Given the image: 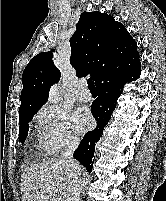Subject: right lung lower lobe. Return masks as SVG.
Returning <instances> with one entry per match:
<instances>
[{
    "instance_id": "98d812e1",
    "label": "right lung lower lobe",
    "mask_w": 166,
    "mask_h": 201,
    "mask_svg": "<svg viewBox=\"0 0 166 201\" xmlns=\"http://www.w3.org/2000/svg\"><path fill=\"white\" fill-rule=\"evenodd\" d=\"M140 72L141 64L138 59L124 67L107 71L96 84L98 98L93 102L91 108L97 121V128L85 134L73 155L76 160L86 167L88 172L92 171L95 143L101 137L104 126L110 120L124 84L138 79Z\"/></svg>"
}]
</instances>
